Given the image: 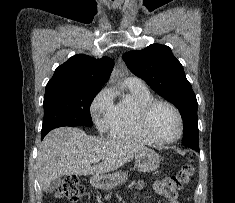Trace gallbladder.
<instances>
[{
    "label": "gallbladder",
    "mask_w": 235,
    "mask_h": 203,
    "mask_svg": "<svg viewBox=\"0 0 235 203\" xmlns=\"http://www.w3.org/2000/svg\"><path fill=\"white\" fill-rule=\"evenodd\" d=\"M60 184V180L57 179L55 181H53L47 188H46V192L47 193H52L53 191H55L57 189V187L59 186Z\"/></svg>",
    "instance_id": "bac80fb5"
}]
</instances>
